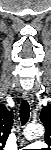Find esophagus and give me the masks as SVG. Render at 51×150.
Listing matches in <instances>:
<instances>
[{
	"label": "esophagus",
	"instance_id": "esophagus-1",
	"mask_svg": "<svg viewBox=\"0 0 51 150\" xmlns=\"http://www.w3.org/2000/svg\"><path fill=\"white\" fill-rule=\"evenodd\" d=\"M23 98H24L26 101H28L30 105L33 104V96H32V94H31L29 91H25V92L23 93Z\"/></svg>",
	"mask_w": 51,
	"mask_h": 150
}]
</instances>
